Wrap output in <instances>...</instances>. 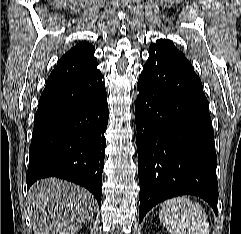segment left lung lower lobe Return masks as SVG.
Returning <instances> with one entry per match:
<instances>
[{"instance_id":"obj_1","label":"left lung lower lobe","mask_w":241,"mask_h":234,"mask_svg":"<svg viewBox=\"0 0 241 234\" xmlns=\"http://www.w3.org/2000/svg\"><path fill=\"white\" fill-rule=\"evenodd\" d=\"M137 87L139 221L159 202L185 194L203 198L217 215L214 132L192 65L150 48Z\"/></svg>"}]
</instances>
